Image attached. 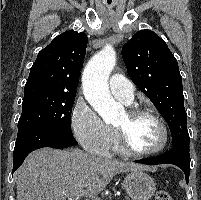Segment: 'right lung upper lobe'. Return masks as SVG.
I'll return each mask as SVG.
<instances>
[{
    "label": "right lung upper lobe",
    "mask_w": 201,
    "mask_h": 200,
    "mask_svg": "<svg viewBox=\"0 0 201 200\" xmlns=\"http://www.w3.org/2000/svg\"><path fill=\"white\" fill-rule=\"evenodd\" d=\"M87 35L66 31L42 49L25 85V93L53 91L76 95L78 79L87 47Z\"/></svg>",
    "instance_id": "right-lung-upper-lobe-1"
}]
</instances>
